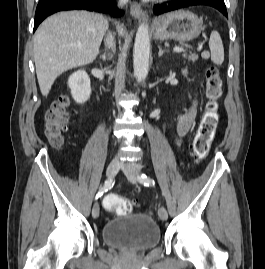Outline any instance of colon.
<instances>
[{
    "label": "colon",
    "instance_id": "obj_1",
    "mask_svg": "<svg viewBox=\"0 0 265 269\" xmlns=\"http://www.w3.org/2000/svg\"><path fill=\"white\" fill-rule=\"evenodd\" d=\"M205 78L204 109L192 145L193 156L198 160L206 157L215 138L219 122V99L222 94V79L216 67L209 66L206 69ZM69 108V97L62 96L46 112L44 133L55 147L63 144L69 119ZM103 205L106 210L117 214H127L133 206L130 200L117 194L107 195Z\"/></svg>",
    "mask_w": 265,
    "mask_h": 269
}]
</instances>
